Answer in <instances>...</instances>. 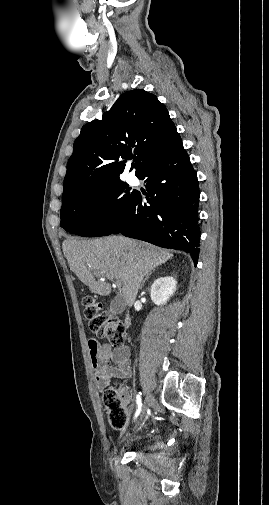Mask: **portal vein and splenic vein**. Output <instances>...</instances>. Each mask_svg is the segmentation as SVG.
Segmentation results:
<instances>
[{
	"instance_id": "portal-vein-and-splenic-vein-1",
	"label": "portal vein and splenic vein",
	"mask_w": 269,
	"mask_h": 505,
	"mask_svg": "<svg viewBox=\"0 0 269 505\" xmlns=\"http://www.w3.org/2000/svg\"><path fill=\"white\" fill-rule=\"evenodd\" d=\"M96 276H98L99 278H101L102 280H105L103 277H101L100 275L96 274ZM116 286L119 288V285L116 284Z\"/></svg>"
}]
</instances>
